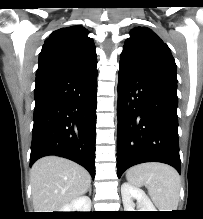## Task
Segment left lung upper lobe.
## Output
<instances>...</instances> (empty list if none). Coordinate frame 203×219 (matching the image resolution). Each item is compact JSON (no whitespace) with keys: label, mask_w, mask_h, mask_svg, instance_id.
I'll list each match as a JSON object with an SVG mask.
<instances>
[{"label":"left lung upper lobe","mask_w":203,"mask_h":219,"mask_svg":"<svg viewBox=\"0 0 203 219\" xmlns=\"http://www.w3.org/2000/svg\"><path fill=\"white\" fill-rule=\"evenodd\" d=\"M120 62L177 82L176 64L170 49L146 27L131 30Z\"/></svg>","instance_id":"5c2ea615"}]
</instances>
